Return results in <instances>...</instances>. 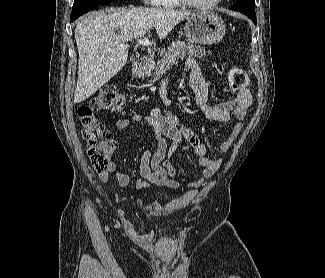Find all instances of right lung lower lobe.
Returning <instances> with one entry per match:
<instances>
[{
  "label": "right lung lower lobe",
  "mask_w": 325,
  "mask_h": 278,
  "mask_svg": "<svg viewBox=\"0 0 325 278\" xmlns=\"http://www.w3.org/2000/svg\"><path fill=\"white\" fill-rule=\"evenodd\" d=\"M102 4L98 2H90L89 0H77L74 2L71 12V21H75L79 16L93 10Z\"/></svg>",
  "instance_id": "obj_1"
}]
</instances>
